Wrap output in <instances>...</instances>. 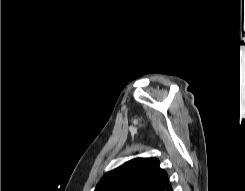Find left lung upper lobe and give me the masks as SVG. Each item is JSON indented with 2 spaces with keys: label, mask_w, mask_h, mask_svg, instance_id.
I'll list each match as a JSON object with an SVG mask.
<instances>
[{
  "label": "left lung upper lobe",
  "mask_w": 245,
  "mask_h": 191,
  "mask_svg": "<svg viewBox=\"0 0 245 191\" xmlns=\"http://www.w3.org/2000/svg\"><path fill=\"white\" fill-rule=\"evenodd\" d=\"M168 174L155 158H134L105 174L95 191H161Z\"/></svg>",
  "instance_id": "5c2ea615"
}]
</instances>
